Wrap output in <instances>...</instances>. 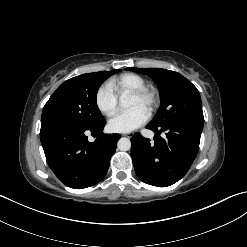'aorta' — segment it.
<instances>
[{"label": "aorta", "mask_w": 247, "mask_h": 247, "mask_svg": "<svg viewBox=\"0 0 247 247\" xmlns=\"http://www.w3.org/2000/svg\"><path fill=\"white\" fill-rule=\"evenodd\" d=\"M121 107L126 108L129 106L127 99H122L120 102ZM117 147L121 151H128L131 148V141L128 138L122 137L118 140Z\"/></svg>", "instance_id": "aorta-1"}]
</instances>
